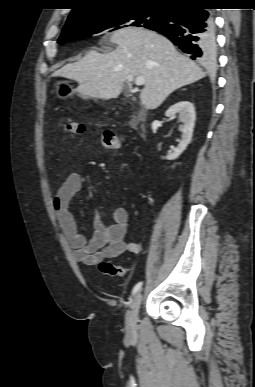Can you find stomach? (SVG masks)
Listing matches in <instances>:
<instances>
[{
  "mask_svg": "<svg viewBox=\"0 0 255 387\" xmlns=\"http://www.w3.org/2000/svg\"><path fill=\"white\" fill-rule=\"evenodd\" d=\"M65 85L64 81H61L60 84L57 86V93L59 97H66L71 95V91L67 87H63ZM84 98H88V96L82 95Z\"/></svg>",
  "mask_w": 255,
  "mask_h": 387,
  "instance_id": "0dacf381",
  "label": "stomach"
}]
</instances>
